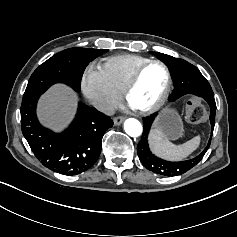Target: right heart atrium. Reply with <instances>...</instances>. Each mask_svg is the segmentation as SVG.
Masks as SVG:
<instances>
[{
	"label": "right heart atrium",
	"instance_id": "d8ad5b80",
	"mask_svg": "<svg viewBox=\"0 0 237 237\" xmlns=\"http://www.w3.org/2000/svg\"><path fill=\"white\" fill-rule=\"evenodd\" d=\"M81 89L88 102L102 114L112 113L121 100V93L112 85L105 71L94 64L83 71Z\"/></svg>",
	"mask_w": 237,
	"mask_h": 237
}]
</instances>
